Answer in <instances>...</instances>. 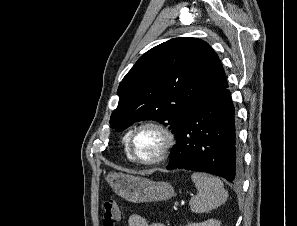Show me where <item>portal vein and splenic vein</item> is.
Listing matches in <instances>:
<instances>
[{
  "label": "portal vein and splenic vein",
  "instance_id": "portal-vein-and-splenic-vein-1",
  "mask_svg": "<svg viewBox=\"0 0 297 226\" xmlns=\"http://www.w3.org/2000/svg\"><path fill=\"white\" fill-rule=\"evenodd\" d=\"M174 206H175V207H178V206H179V202H175V203H174Z\"/></svg>",
  "mask_w": 297,
  "mask_h": 226
}]
</instances>
